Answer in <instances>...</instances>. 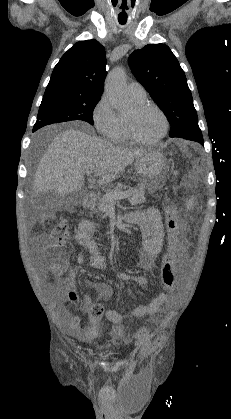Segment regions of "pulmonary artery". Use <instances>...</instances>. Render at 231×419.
Wrapping results in <instances>:
<instances>
[{
    "label": "pulmonary artery",
    "instance_id": "obj_1",
    "mask_svg": "<svg viewBox=\"0 0 231 419\" xmlns=\"http://www.w3.org/2000/svg\"><path fill=\"white\" fill-rule=\"evenodd\" d=\"M128 93L130 96L138 98V99H145L146 98V90L142 84L139 82H131L128 85Z\"/></svg>",
    "mask_w": 231,
    "mask_h": 419
}]
</instances>
